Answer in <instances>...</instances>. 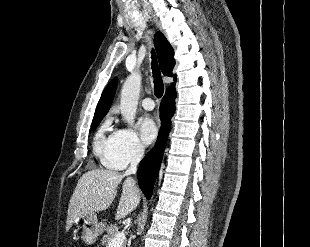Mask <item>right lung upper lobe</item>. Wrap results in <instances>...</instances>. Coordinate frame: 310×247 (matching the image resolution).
<instances>
[{
    "label": "right lung upper lobe",
    "mask_w": 310,
    "mask_h": 247,
    "mask_svg": "<svg viewBox=\"0 0 310 247\" xmlns=\"http://www.w3.org/2000/svg\"><path fill=\"white\" fill-rule=\"evenodd\" d=\"M154 44L163 74L166 76H173L172 70L175 65L173 48L161 32L155 34ZM175 79L174 77V80ZM116 86V78L106 86L98 102L93 120L107 114L114 98Z\"/></svg>",
    "instance_id": "obj_1"
}]
</instances>
